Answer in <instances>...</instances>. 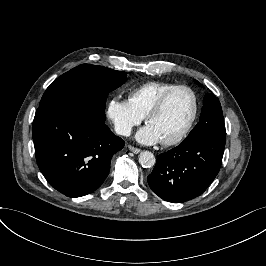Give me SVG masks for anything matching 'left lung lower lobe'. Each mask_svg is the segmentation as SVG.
Masks as SVG:
<instances>
[{
  "instance_id": "left-lung-lower-lobe-1",
  "label": "left lung lower lobe",
  "mask_w": 266,
  "mask_h": 266,
  "mask_svg": "<svg viewBox=\"0 0 266 266\" xmlns=\"http://www.w3.org/2000/svg\"><path fill=\"white\" fill-rule=\"evenodd\" d=\"M226 137L202 135L157 156L148 176L152 191L177 203L201 195L219 172Z\"/></svg>"
}]
</instances>
